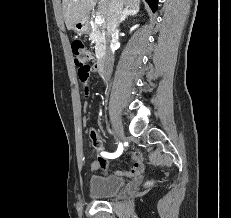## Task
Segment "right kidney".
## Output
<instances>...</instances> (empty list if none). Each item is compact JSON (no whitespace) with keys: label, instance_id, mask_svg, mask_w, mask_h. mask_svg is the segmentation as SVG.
<instances>
[{"label":"right kidney","instance_id":"ca27d5eb","mask_svg":"<svg viewBox=\"0 0 231 218\" xmlns=\"http://www.w3.org/2000/svg\"><path fill=\"white\" fill-rule=\"evenodd\" d=\"M138 25H135L131 28V31L134 30L135 28H137Z\"/></svg>","mask_w":231,"mask_h":218}]
</instances>
